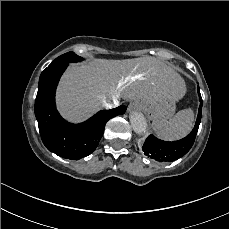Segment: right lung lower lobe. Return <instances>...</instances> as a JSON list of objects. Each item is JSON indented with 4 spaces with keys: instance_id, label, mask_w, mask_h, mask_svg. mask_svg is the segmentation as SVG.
<instances>
[{
    "instance_id": "98d812e1",
    "label": "right lung lower lobe",
    "mask_w": 229,
    "mask_h": 229,
    "mask_svg": "<svg viewBox=\"0 0 229 229\" xmlns=\"http://www.w3.org/2000/svg\"><path fill=\"white\" fill-rule=\"evenodd\" d=\"M67 66L63 64L41 73L35 115L46 148L63 158L78 160L94 151L103 135L105 123L112 117L124 114L126 106L99 111L80 124L68 123L59 115L55 105L56 87Z\"/></svg>"
}]
</instances>
